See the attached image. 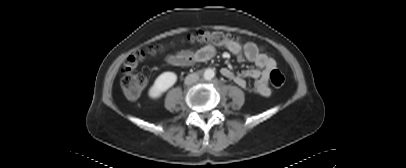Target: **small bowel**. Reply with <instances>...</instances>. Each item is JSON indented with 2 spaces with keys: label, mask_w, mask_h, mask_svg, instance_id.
<instances>
[{
  "label": "small bowel",
  "mask_w": 406,
  "mask_h": 168,
  "mask_svg": "<svg viewBox=\"0 0 406 168\" xmlns=\"http://www.w3.org/2000/svg\"><path fill=\"white\" fill-rule=\"evenodd\" d=\"M228 51L237 55L240 60L253 63L257 69L234 72L229 68H222L221 74L235 82L241 88L262 97H268L271 91L268 87L270 72L277 67L276 61L259 50L254 42L237 43L226 47ZM215 54L213 47L207 46L196 51L184 50L167 57V62L174 66H189L210 60ZM254 80L253 87L248 85L247 79Z\"/></svg>",
  "instance_id": "small-bowel-1"
}]
</instances>
